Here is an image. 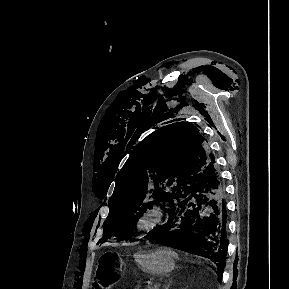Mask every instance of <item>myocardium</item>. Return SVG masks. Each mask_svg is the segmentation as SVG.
<instances>
[{
	"label": "myocardium",
	"instance_id": "1",
	"mask_svg": "<svg viewBox=\"0 0 289 289\" xmlns=\"http://www.w3.org/2000/svg\"><path fill=\"white\" fill-rule=\"evenodd\" d=\"M165 212L160 206L154 205L147 208L136 222V228L141 232H150L164 222Z\"/></svg>",
	"mask_w": 289,
	"mask_h": 289
}]
</instances>
